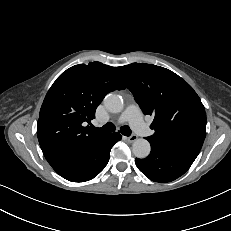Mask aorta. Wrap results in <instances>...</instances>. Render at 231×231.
Listing matches in <instances>:
<instances>
[{
  "label": "aorta",
  "instance_id": "aorta-1",
  "mask_svg": "<svg viewBox=\"0 0 231 231\" xmlns=\"http://www.w3.org/2000/svg\"><path fill=\"white\" fill-rule=\"evenodd\" d=\"M104 105L112 113H119L124 108L123 99L117 94H108L104 98ZM151 151L150 143L143 138L136 139L132 145L133 154L140 159L146 158Z\"/></svg>",
  "mask_w": 231,
  "mask_h": 231
}]
</instances>
